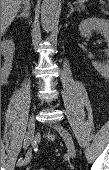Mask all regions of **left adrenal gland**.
Wrapping results in <instances>:
<instances>
[{
    "label": "left adrenal gland",
    "mask_w": 109,
    "mask_h": 170,
    "mask_svg": "<svg viewBox=\"0 0 109 170\" xmlns=\"http://www.w3.org/2000/svg\"><path fill=\"white\" fill-rule=\"evenodd\" d=\"M68 5H69V7H70V12H69V14L67 15V17H69L74 11H80L79 9H75L70 2L68 3Z\"/></svg>",
    "instance_id": "obj_1"
}]
</instances>
